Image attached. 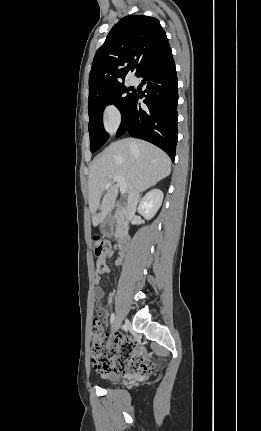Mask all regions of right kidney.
I'll list each match as a JSON object with an SVG mask.
<instances>
[{
	"label": "right kidney",
	"mask_w": 261,
	"mask_h": 431,
	"mask_svg": "<svg viewBox=\"0 0 261 431\" xmlns=\"http://www.w3.org/2000/svg\"><path fill=\"white\" fill-rule=\"evenodd\" d=\"M163 197V192L160 189L149 191L139 204V214L147 220L152 219L161 207Z\"/></svg>",
	"instance_id": "ca27d5eb"
}]
</instances>
